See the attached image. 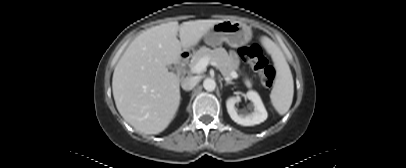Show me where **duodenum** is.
I'll return each instance as SVG.
<instances>
[{"label": "duodenum", "instance_id": "duodenum-1", "mask_svg": "<svg viewBox=\"0 0 406 168\" xmlns=\"http://www.w3.org/2000/svg\"><path fill=\"white\" fill-rule=\"evenodd\" d=\"M189 56H190L189 52H182L179 55L177 62H176V67L179 72H181L184 69V66H185L187 60L189 59Z\"/></svg>", "mask_w": 406, "mask_h": 168}]
</instances>
